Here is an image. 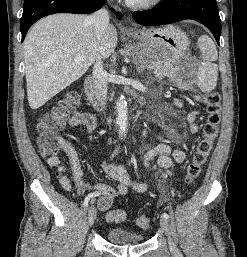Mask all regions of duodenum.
Wrapping results in <instances>:
<instances>
[{
  "label": "duodenum",
  "mask_w": 247,
  "mask_h": 257,
  "mask_svg": "<svg viewBox=\"0 0 247 257\" xmlns=\"http://www.w3.org/2000/svg\"><path fill=\"white\" fill-rule=\"evenodd\" d=\"M94 78L88 76L84 82V91L89 101L94 105L95 108L100 109V104L94 95Z\"/></svg>",
  "instance_id": "obj_1"
}]
</instances>
